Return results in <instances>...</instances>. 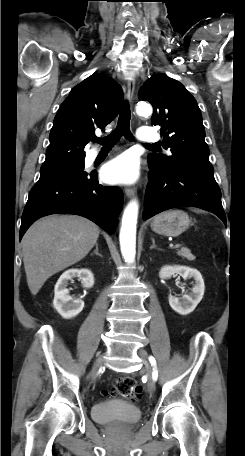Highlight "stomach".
Instances as JSON below:
<instances>
[{"label": "stomach", "instance_id": "0dacf381", "mask_svg": "<svg viewBox=\"0 0 245 456\" xmlns=\"http://www.w3.org/2000/svg\"><path fill=\"white\" fill-rule=\"evenodd\" d=\"M190 223L186 212L175 209L157 215L151 223V229L161 235L176 237L186 231Z\"/></svg>", "mask_w": 245, "mask_h": 456}]
</instances>
